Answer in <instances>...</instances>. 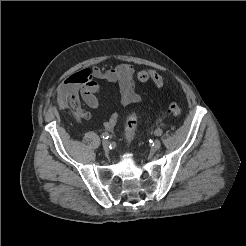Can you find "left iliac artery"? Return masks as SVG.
Here are the masks:
<instances>
[{"instance_id":"44dca946","label":"left iliac artery","mask_w":246,"mask_h":246,"mask_svg":"<svg viewBox=\"0 0 246 246\" xmlns=\"http://www.w3.org/2000/svg\"><path fill=\"white\" fill-rule=\"evenodd\" d=\"M162 133H163V131H162L160 128L156 129L155 132H154V134H155L156 136H161Z\"/></svg>"}]
</instances>
